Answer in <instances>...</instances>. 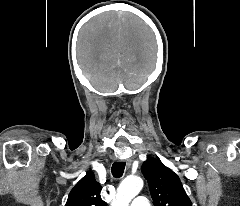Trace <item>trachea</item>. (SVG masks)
Segmentation results:
<instances>
[{
    "label": "trachea",
    "mask_w": 240,
    "mask_h": 206,
    "mask_svg": "<svg viewBox=\"0 0 240 206\" xmlns=\"http://www.w3.org/2000/svg\"><path fill=\"white\" fill-rule=\"evenodd\" d=\"M125 162H115L112 165L111 171H112V175L115 178H120L123 173H124V169H125Z\"/></svg>",
    "instance_id": "3493384b"
}]
</instances>
